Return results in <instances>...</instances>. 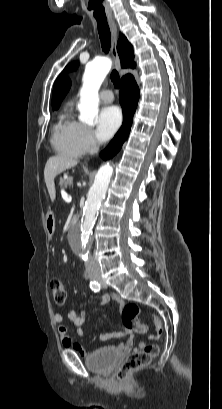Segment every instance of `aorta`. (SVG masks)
Returning a JSON list of instances; mask_svg holds the SVG:
<instances>
[{
  "label": "aorta",
  "mask_w": 222,
  "mask_h": 409,
  "mask_svg": "<svg viewBox=\"0 0 222 409\" xmlns=\"http://www.w3.org/2000/svg\"><path fill=\"white\" fill-rule=\"evenodd\" d=\"M110 69L111 60L105 57L95 59L86 66L78 108L80 121L88 125H93L94 119L98 115V91ZM112 174L113 167L109 163L101 166L88 192L81 222L74 233V245L82 253L85 252L90 243L97 211L105 197Z\"/></svg>",
  "instance_id": "1"
}]
</instances>
